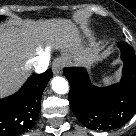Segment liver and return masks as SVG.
Listing matches in <instances>:
<instances>
[{"mask_svg":"<svg viewBox=\"0 0 136 136\" xmlns=\"http://www.w3.org/2000/svg\"><path fill=\"white\" fill-rule=\"evenodd\" d=\"M53 42L67 48L77 63L90 64L99 56L93 43L90 47L81 44L77 29L68 20H27L20 26L0 27V97L19 88L36 55L50 56Z\"/></svg>","mask_w":136,"mask_h":136,"instance_id":"6515ba94","label":"liver"}]
</instances>
